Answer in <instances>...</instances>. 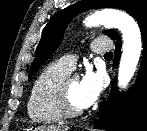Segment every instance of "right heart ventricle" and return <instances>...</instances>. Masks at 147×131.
Returning a JSON list of instances; mask_svg holds the SVG:
<instances>
[{"mask_svg":"<svg viewBox=\"0 0 147 131\" xmlns=\"http://www.w3.org/2000/svg\"><path fill=\"white\" fill-rule=\"evenodd\" d=\"M70 72L57 61L45 66L37 75L27 101V113L33 122L51 124L63 119L56 105L55 89L58 82Z\"/></svg>","mask_w":147,"mask_h":131,"instance_id":"e07e8e85","label":"right heart ventricle"}]
</instances>
